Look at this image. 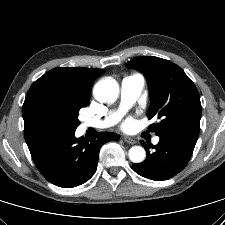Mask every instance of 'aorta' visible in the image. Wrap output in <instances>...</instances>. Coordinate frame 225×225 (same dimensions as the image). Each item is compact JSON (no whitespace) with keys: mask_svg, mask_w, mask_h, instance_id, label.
<instances>
[{"mask_svg":"<svg viewBox=\"0 0 225 225\" xmlns=\"http://www.w3.org/2000/svg\"><path fill=\"white\" fill-rule=\"evenodd\" d=\"M118 95L119 85L113 78H103L94 87V96L99 102H114ZM128 155L133 163H141L145 160L146 152L141 146H133Z\"/></svg>","mask_w":225,"mask_h":225,"instance_id":"obj_1","label":"aorta"}]
</instances>
